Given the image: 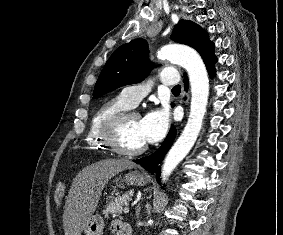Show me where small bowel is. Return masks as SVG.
I'll return each mask as SVG.
<instances>
[{
  "mask_svg": "<svg viewBox=\"0 0 283 235\" xmlns=\"http://www.w3.org/2000/svg\"><path fill=\"white\" fill-rule=\"evenodd\" d=\"M117 224H119V222H115L112 226V230L117 234V231H116V226Z\"/></svg>",
  "mask_w": 283,
  "mask_h": 235,
  "instance_id": "small-bowel-1",
  "label": "small bowel"
}]
</instances>
